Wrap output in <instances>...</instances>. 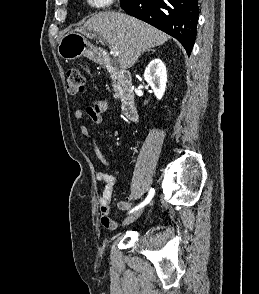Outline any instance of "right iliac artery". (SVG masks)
Returning a JSON list of instances; mask_svg holds the SVG:
<instances>
[{
	"mask_svg": "<svg viewBox=\"0 0 259 294\" xmlns=\"http://www.w3.org/2000/svg\"><path fill=\"white\" fill-rule=\"evenodd\" d=\"M153 195H154V189L151 188L150 191H149V194H148L147 198L141 204H139L138 206H136L135 208H133L129 213H131V212H133L135 210H138L139 208H141V207L145 206L146 204H148L151 201Z\"/></svg>",
	"mask_w": 259,
	"mask_h": 294,
	"instance_id": "obj_1",
	"label": "right iliac artery"
}]
</instances>
